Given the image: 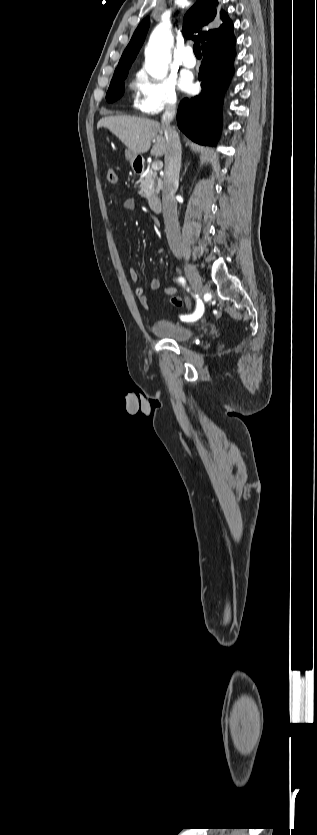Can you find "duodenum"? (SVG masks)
Here are the masks:
<instances>
[{"mask_svg":"<svg viewBox=\"0 0 317 835\" xmlns=\"http://www.w3.org/2000/svg\"><path fill=\"white\" fill-rule=\"evenodd\" d=\"M134 168L137 173H142L144 171V165L141 161H136ZM148 204L150 209L154 212H159L162 209V201L159 196H151L148 200Z\"/></svg>","mask_w":317,"mask_h":835,"instance_id":"410a0bca","label":"duodenum"}]
</instances>
